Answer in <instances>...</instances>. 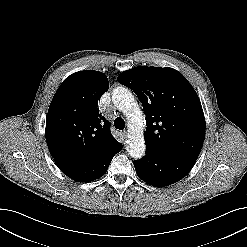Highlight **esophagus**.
<instances>
[{
	"mask_svg": "<svg viewBox=\"0 0 247 247\" xmlns=\"http://www.w3.org/2000/svg\"><path fill=\"white\" fill-rule=\"evenodd\" d=\"M120 134H121L122 138L125 140L126 137H127V132L126 131H121Z\"/></svg>",
	"mask_w": 247,
	"mask_h": 247,
	"instance_id": "1",
	"label": "esophagus"
}]
</instances>
